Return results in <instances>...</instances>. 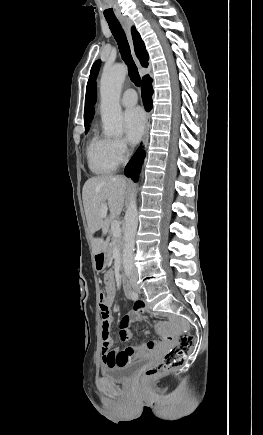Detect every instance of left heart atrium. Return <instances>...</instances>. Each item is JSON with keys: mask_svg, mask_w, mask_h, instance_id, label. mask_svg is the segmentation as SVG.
<instances>
[{"mask_svg": "<svg viewBox=\"0 0 263 435\" xmlns=\"http://www.w3.org/2000/svg\"><path fill=\"white\" fill-rule=\"evenodd\" d=\"M145 122V116L141 108L133 107L125 112V134L130 143L135 144L141 139L145 128Z\"/></svg>", "mask_w": 263, "mask_h": 435, "instance_id": "39dd6f15", "label": "left heart atrium"}]
</instances>
